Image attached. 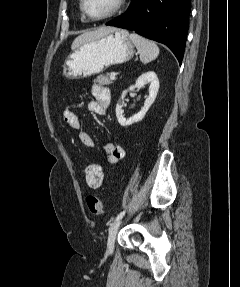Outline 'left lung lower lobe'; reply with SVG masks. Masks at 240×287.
Returning <instances> with one entry per match:
<instances>
[{"label": "left lung lower lobe", "mask_w": 240, "mask_h": 287, "mask_svg": "<svg viewBox=\"0 0 240 287\" xmlns=\"http://www.w3.org/2000/svg\"><path fill=\"white\" fill-rule=\"evenodd\" d=\"M191 0H132L128 10L106 25L129 29L167 45L181 64Z\"/></svg>", "instance_id": "left-lung-lower-lobe-1"}]
</instances>
